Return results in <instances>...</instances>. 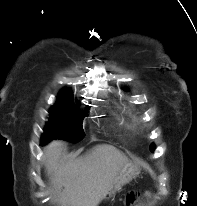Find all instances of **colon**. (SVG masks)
Instances as JSON below:
<instances>
[{"label": "colon", "instance_id": "5ec220e1", "mask_svg": "<svg viewBox=\"0 0 197 206\" xmlns=\"http://www.w3.org/2000/svg\"><path fill=\"white\" fill-rule=\"evenodd\" d=\"M135 199V194L131 193L128 197V202L133 201Z\"/></svg>", "mask_w": 197, "mask_h": 206}]
</instances>
